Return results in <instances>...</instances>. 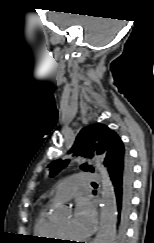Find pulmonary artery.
Returning <instances> with one entry per match:
<instances>
[{
    "instance_id": "1",
    "label": "pulmonary artery",
    "mask_w": 154,
    "mask_h": 243,
    "mask_svg": "<svg viewBox=\"0 0 154 243\" xmlns=\"http://www.w3.org/2000/svg\"><path fill=\"white\" fill-rule=\"evenodd\" d=\"M97 179L98 175L95 172H81L75 174L55 187L52 199L54 201H68L84 184Z\"/></svg>"
}]
</instances>
